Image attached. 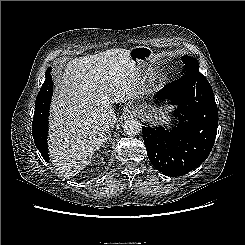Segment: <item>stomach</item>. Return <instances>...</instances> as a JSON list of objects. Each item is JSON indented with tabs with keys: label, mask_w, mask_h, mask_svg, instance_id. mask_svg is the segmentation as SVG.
<instances>
[{
	"label": "stomach",
	"mask_w": 245,
	"mask_h": 245,
	"mask_svg": "<svg viewBox=\"0 0 245 245\" xmlns=\"http://www.w3.org/2000/svg\"><path fill=\"white\" fill-rule=\"evenodd\" d=\"M131 59L140 67L153 61L154 52L146 46H136L129 50ZM145 115L149 120H158L163 123H168L169 116L167 111L162 108L145 107Z\"/></svg>",
	"instance_id": "stomach-1"
}]
</instances>
